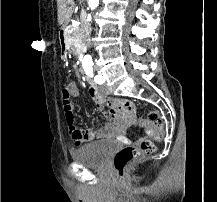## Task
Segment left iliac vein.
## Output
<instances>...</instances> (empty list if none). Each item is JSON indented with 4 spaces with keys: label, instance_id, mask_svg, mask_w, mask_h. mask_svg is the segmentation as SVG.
Listing matches in <instances>:
<instances>
[{
    "label": "left iliac vein",
    "instance_id": "4c4485c4",
    "mask_svg": "<svg viewBox=\"0 0 217 202\" xmlns=\"http://www.w3.org/2000/svg\"><path fill=\"white\" fill-rule=\"evenodd\" d=\"M99 89H100L101 93H103L104 95H109L110 94V91H109L106 84L101 85L99 87Z\"/></svg>",
    "mask_w": 217,
    "mask_h": 202
}]
</instances>
